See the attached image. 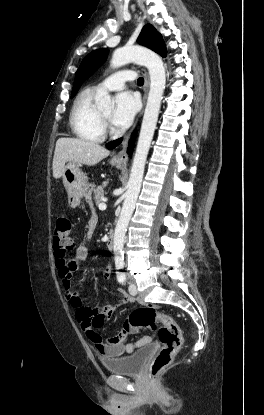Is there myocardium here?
Segmentation results:
<instances>
[{
    "label": "myocardium",
    "mask_w": 264,
    "mask_h": 415,
    "mask_svg": "<svg viewBox=\"0 0 264 415\" xmlns=\"http://www.w3.org/2000/svg\"><path fill=\"white\" fill-rule=\"evenodd\" d=\"M98 115L101 121V127L104 135H116V133L113 131L110 121L100 111H98Z\"/></svg>",
    "instance_id": "myocardium-1"
}]
</instances>
